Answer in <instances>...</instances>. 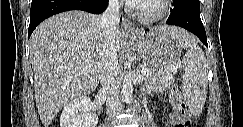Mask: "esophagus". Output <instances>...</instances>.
I'll return each mask as SVG.
<instances>
[{"instance_id": "34e87169", "label": "esophagus", "mask_w": 243, "mask_h": 127, "mask_svg": "<svg viewBox=\"0 0 243 127\" xmlns=\"http://www.w3.org/2000/svg\"><path fill=\"white\" fill-rule=\"evenodd\" d=\"M123 31H124V33H126L128 35H133L136 33V28L130 20L124 19L123 20Z\"/></svg>"}]
</instances>
